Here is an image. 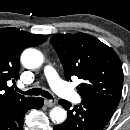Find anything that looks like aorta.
Listing matches in <instances>:
<instances>
[{"label": "aorta", "mask_w": 130, "mask_h": 130, "mask_svg": "<svg viewBox=\"0 0 130 130\" xmlns=\"http://www.w3.org/2000/svg\"><path fill=\"white\" fill-rule=\"evenodd\" d=\"M43 62V54L34 48L24 50L21 55V63L27 69L38 68ZM66 117V110L60 106L54 107L50 111V118L54 123L61 124L66 120Z\"/></svg>", "instance_id": "1"}]
</instances>
